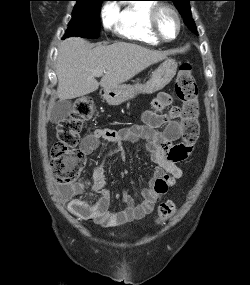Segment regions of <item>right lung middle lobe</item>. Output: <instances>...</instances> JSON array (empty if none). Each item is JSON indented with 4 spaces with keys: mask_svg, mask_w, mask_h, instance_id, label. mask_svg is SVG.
<instances>
[{
    "mask_svg": "<svg viewBox=\"0 0 250 285\" xmlns=\"http://www.w3.org/2000/svg\"><path fill=\"white\" fill-rule=\"evenodd\" d=\"M77 1L72 20L65 33L67 36H80L95 39L100 36V9L105 0H74Z\"/></svg>",
    "mask_w": 250,
    "mask_h": 285,
    "instance_id": "dd1d6c3e",
    "label": "right lung middle lobe"
}]
</instances>
